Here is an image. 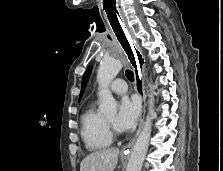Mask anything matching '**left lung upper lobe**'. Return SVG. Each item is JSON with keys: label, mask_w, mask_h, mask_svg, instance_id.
I'll return each mask as SVG.
<instances>
[{"label": "left lung upper lobe", "mask_w": 223, "mask_h": 171, "mask_svg": "<svg viewBox=\"0 0 223 171\" xmlns=\"http://www.w3.org/2000/svg\"><path fill=\"white\" fill-rule=\"evenodd\" d=\"M91 69H92V66H89L88 69L86 70L84 76H83V79H82V87H81V93H80L79 100L81 99V97L83 95L84 89L86 87V84L88 82L89 76L91 74Z\"/></svg>", "instance_id": "left-lung-upper-lobe-1"}]
</instances>
